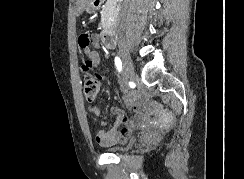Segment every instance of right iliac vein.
Instances as JSON below:
<instances>
[{
	"label": "right iliac vein",
	"instance_id": "right-iliac-vein-1",
	"mask_svg": "<svg viewBox=\"0 0 244 179\" xmlns=\"http://www.w3.org/2000/svg\"><path fill=\"white\" fill-rule=\"evenodd\" d=\"M120 56L122 58L123 62V76H122V83L124 86L127 85V82L129 80H132L134 78V70L133 65L131 62V59L129 57V54L125 48H121L120 50Z\"/></svg>",
	"mask_w": 244,
	"mask_h": 179
}]
</instances>
